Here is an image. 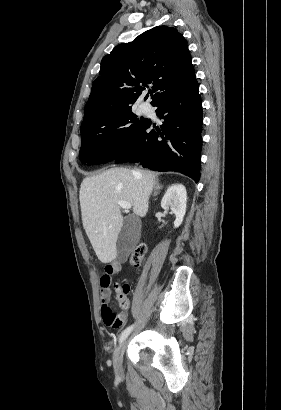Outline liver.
Listing matches in <instances>:
<instances>
[{
  "label": "liver",
  "instance_id": "liver-1",
  "mask_svg": "<svg viewBox=\"0 0 281 410\" xmlns=\"http://www.w3.org/2000/svg\"><path fill=\"white\" fill-rule=\"evenodd\" d=\"M156 183V173L127 168H112L83 179L79 192L82 223L102 263L117 257L116 243L123 226L118 201L130 203L134 213L144 217Z\"/></svg>",
  "mask_w": 281,
  "mask_h": 410
}]
</instances>
